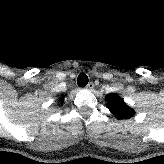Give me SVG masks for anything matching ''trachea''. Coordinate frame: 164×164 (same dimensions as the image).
<instances>
[{"label": "trachea", "instance_id": "obj_1", "mask_svg": "<svg viewBox=\"0 0 164 164\" xmlns=\"http://www.w3.org/2000/svg\"><path fill=\"white\" fill-rule=\"evenodd\" d=\"M88 76L85 73H80L77 79V84L79 87H85L88 84Z\"/></svg>", "mask_w": 164, "mask_h": 164}]
</instances>
